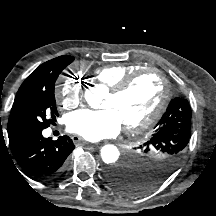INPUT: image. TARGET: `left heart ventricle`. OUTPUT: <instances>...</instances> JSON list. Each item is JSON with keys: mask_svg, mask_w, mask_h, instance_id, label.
<instances>
[{"mask_svg": "<svg viewBox=\"0 0 216 216\" xmlns=\"http://www.w3.org/2000/svg\"><path fill=\"white\" fill-rule=\"evenodd\" d=\"M162 94L159 76L148 72L120 96L108 95L104 107L112 108L123 124L133 125L144 120L157 105Z\"/></svg>", "mask_w": 216, "mask_h": 216, "instance_id": "left-heart-ventricle-1", "label": "left heart ventricle"}]
</instances>
